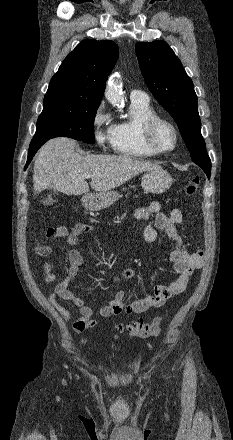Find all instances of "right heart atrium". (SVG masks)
Returning a JSON list of instances; mask_svg holds the SVG:
<instances>
[{
    "mask_svg": "<svg viewBox=\"0 0 233 440\" xmlns=\"http://www.w3.org/2000/svg\"><path fill=\"white\" fill-rule=\"evenodd\" d=\"M92 127L95 141L99 146L104 147L112 143L111 116L104 103H100L96 108L92 118Z\"/></svg>",
    "mask_w": 233,
    "mask_h": 440,
    "instance_id": "right-heart-atrium-1",
    "label": "right heart atrium"
}]
</instances>
